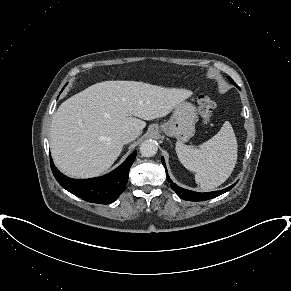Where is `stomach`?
Here are the masks:
<instances>
[{
	"label": "stomach",
	"mask_w": 291,
	"mask_h": 291,
	"mask_svg": "<svg viewBox=\"0 0 291 291\" xmlns=\"http://www.w3.org/2000/svg\"><path fill=\"white\" fill-rule=\"evenodd\" d=\"M197 122L196 107L189 102H181L175 107L171 118L161 125V130L170 137L184 142L195 133Z\"/></svg>",
	"instance_id": "stomach-1"
}]
</instances>
